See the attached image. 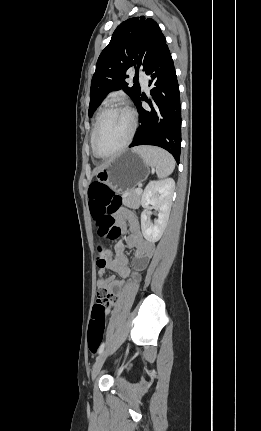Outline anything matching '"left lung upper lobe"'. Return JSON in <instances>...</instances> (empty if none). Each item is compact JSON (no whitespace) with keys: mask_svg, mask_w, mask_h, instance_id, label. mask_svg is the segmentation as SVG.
I'll use <instances>...</instances> for the list:
<instances>
[{"mask_svg":"<svg viewBox=\"0 0 261 431\" xmlns=\"http://www.w3.org/2000/svg\"><path fill=\"white\" fill-rule=\"evenodd\" d=\"M164 46L166 39L153 19L141 16L122 22L98 58L91 81L89 115L114 90L122 89L135 102L141 93L140 85L128 86L127 69L134 66L136 75L140 68L146 71Z\"/></svg>","mask_w":261,"mask_h":431,"instance_id":"5c2ea615","label":"left lung upper lobe"}]
</instances>
